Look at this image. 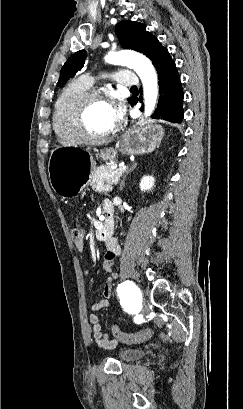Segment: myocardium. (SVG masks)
Wrapping results in <instances>:
<instances>
[{
  "label": "myocardium",
  "instance_id": "obj_1",
  "mask_svg": "<svg viewBox=\"0 0 243 409\" xmlns=\"http://www.w3.org/2000/svg\"><path fill=\"white\" fill-rule=\"evenodd\" d=\"M94 101H105L111 104V95L101 90H87L76 96L69 107L68 115L70 125L79 139L83 142H102L107 140L114 133V128L111 131L100 135H93L87 130L84 115L87 106Z\"/></svg>",
  "mask_w": 243,
  "mask_h": 409
}]
</instances>
